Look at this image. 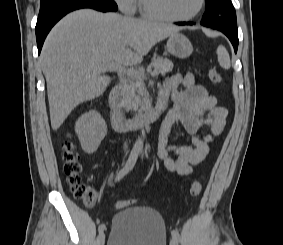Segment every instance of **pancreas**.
Here are the masks:
<instances>
[{
    "instance_id": "1",
    "label": "pancreas",
    "mask_w": 283,
    "mask_h": 245,
    "mask_svg": "<svg viewBox=\"0 0 283 245\" xmlns=\"http://www.w3.org/2000/svg\"><path fill=\"white\" fill-rule=\"evenodd\" d=\"M151 65L161 74H166L173 69V63L167 58H153ZM148 92L143 78H133L125 85L122 93V106L126 110H137L149 105Z\"/></svg>"
}]
</instances>
